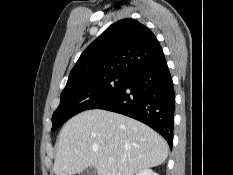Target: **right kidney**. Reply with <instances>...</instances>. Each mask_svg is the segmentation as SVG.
I'll use <instances>...</instances> for the list:
<instances>
[{"instance_id":"right-kidney-1","label":"right kidney","mask_w":233,"mask_h":175,"mask_svg":"<svg viewBox=\"0 0 233 175\" xmlns=\"http://www.w3.org/2000/svg\"><path fill=\"white\" fill-rule=\"evenodd\" d=\"M136 175H158V174L153 172V170L151 169H145V170L139 171Z\"/></svg>"}]
</instances>
